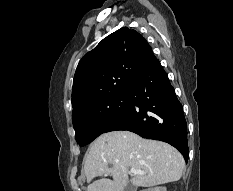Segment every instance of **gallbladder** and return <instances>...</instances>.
<instances>
[{
  "label": "gallbladder",
  "instance_id": "gallbladder-1",
  "mask_svg": "<svg viewBox=\"0 0 233 191\" xmlns=\"http://www.w3.org/2000/svg\"><path fill=\"white\" fill-rule=\"evenodd\" d=\"M123 191H136V187L129 181Z\"/></svg>",
  "mask_w": 233,
  "mask_h": 191
}]
</instances>
